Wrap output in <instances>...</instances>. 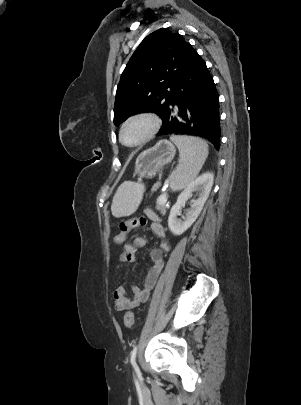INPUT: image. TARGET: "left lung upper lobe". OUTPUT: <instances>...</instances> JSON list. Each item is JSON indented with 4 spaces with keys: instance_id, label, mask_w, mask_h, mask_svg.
<instances>
[{
    "instance_id": "1",
    "label": "left lung upper lobe",
    "mask_w": 301,
    "mask_h": 405,
    "mask_svg": "<svg viewBox=\"0 0 301 405\" xmlns=\"http://www.w3.org/2000/svg\"><path fill=\"white\" fill-rule=\"evenodd\" d=\"M195 49L182 35L161 28L138 46L117 87L114 124L119 126L135 113L153 112L163 123L178 83Z\"/></svg>"
}]
</instances>
